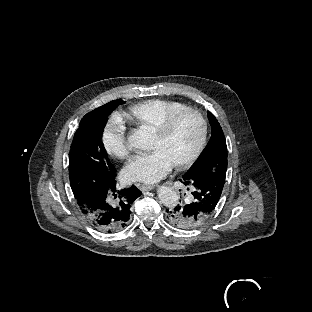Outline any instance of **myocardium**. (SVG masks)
<instances>
[{"instance_id": "f54148a6", "label": "myocardium", "mask_w": 312, "mask_h": 312, "mask_svg": "<svg viewBox=\"0 0 312 312\" xmlns=\"http://www.w3.org/2000/svg\"><path fill=\"white\" fill-rule=\"evenodd\" d=\"M183 117H189L192 119L198 128L197 142L199 146L187 156L183 161H177L174 163L173 168L177 172L186 171L189 167L194 166L196 161H199V157L203 155L209 146V132L208 125L205 118L197 110L190 106H180L169 116L168 120L164 122L163 127L159 129L158 134L160 137L165 138L168 136L169 131L173 129L174 125L178 123Z\"/></svg>"}]
</instances>
